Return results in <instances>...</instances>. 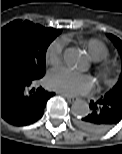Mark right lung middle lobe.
Listing matches in <instances>:
<instances>
[{
    "label": "right lung middle lobe",
    "instance_id": "1",
    "mask_svg": "<svg viewBox=\"0 0 122 154\" xmlns=\"http://www.w3.org/2000/svg\"><path fill=\"white\" fill-rule=\"evenodd\" d=\"M59 34L53 28L15 20L1 28V63L16 66L31 79H40L45 72L46 50Z\"/></svg>",
    "mask_w": 122,
    "mask_h": 154
}]
</instances>
